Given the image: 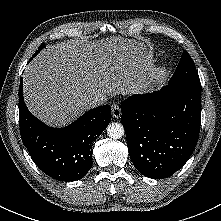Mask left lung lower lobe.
<instances>
[{"instance_id":"0a47b994","label":"left lung lower lobe","mask_w":221,"mask_h":221,"mask_svg":"<svg viewBox=\"0 0 221 221\" xmlns=\"http://www.w3.org/2000/svg\"><path fill=\"white\" fill-rule=\"evenodd\" d=\"M201 84L170 83L121 104L130 158L143 175L167 178L191 156L201 122Z\"/></svg>"}]
</instances>
